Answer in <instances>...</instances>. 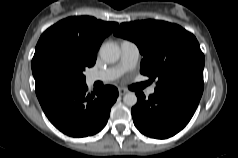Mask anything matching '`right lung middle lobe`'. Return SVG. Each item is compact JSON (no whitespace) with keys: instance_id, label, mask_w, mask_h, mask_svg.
Listing matches in <instances>:
<instances>
[{"instance_id":"1","label":"right lung middle lobe","mask_w":238,"mask_h":158,"mask_svg":"<svg viewBox=\"0 0 238 158\" xmlns=\"http://www.w3.org/2000/svg\"><path fill=\"white\" fill-rule=\"evenodd\" d=\"M92 64L75 47L54 38L38 41L32 59V72L35 80L52 77L60 81L82 84L83 71Z\"/></svg>"}]
</instances>
